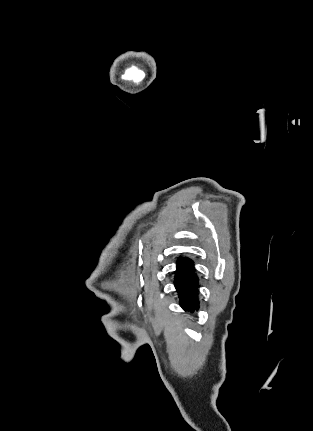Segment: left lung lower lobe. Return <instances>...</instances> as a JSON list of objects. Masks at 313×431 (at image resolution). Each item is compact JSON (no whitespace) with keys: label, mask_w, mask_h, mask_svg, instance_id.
<instances>
[{"label":"left lung lower lobe","mask_w":313,"mask_h":431,"mask_svg":"<svg viewBox=\"0 0 313 431\" xmlns=\"http://www.w3.org/2000/svg\"><path fill=\"white\" fill-rule=\"evenodd\" d=\"M194 264L188 258H180L175 274V287L179 296V304L185 311L194 312L199 309L198 283Z\"/></svg>","instance_id":"1"}]
</instances>
